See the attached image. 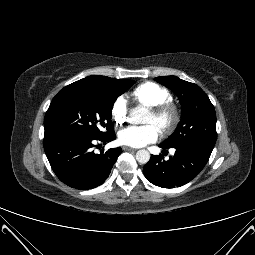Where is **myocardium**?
<instances>
[{
    "instance_id": "1",
    "label": "myocardium",
    "mask_w": 255,
    "mask_h": 255,
    "mask_svg": "<svg viewBox=\"0 0 255 255\" xmlns=\"http://www.w3.org/2000/svg\"><path fill=\"white\" fill-rule=\"evenodd\" d=\"M150 110L159 121V129L164 134L171 133L180 121V110L172 101L150 106Z\"/></svg>"
}]
</instances>
